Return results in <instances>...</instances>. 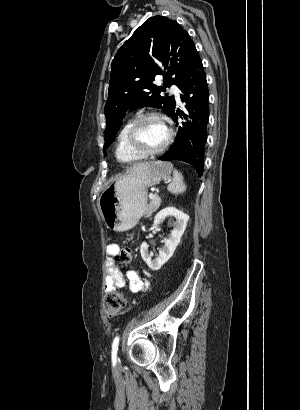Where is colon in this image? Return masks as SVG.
<instances>
[{
	"label": "colon",
	"instance_id": "5ec220e1",
	"mask_svg": "<svg viewBox=\"0 0 300 410\" xmlns=\"http://www.w3.org/2000/svg\"><path fill=\"white\" fill-rule=\"evenodd\" d=\"M132 252L128 247L120 248L115 255V260L120 264H128L132 261ZM125 306V297L117 292H107L103 299V309L108 317L117 316Z\"/></svg>",
	"mask_w": 300,
	"mask_h": 410
}]
</instances>
